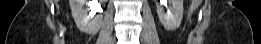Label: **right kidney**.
<instances>
[{
	"label": "right kidney",
	"instance_id": "obj_1",
	"mask_svg": "<svg viewBox=\"0 0 261 44\" xmlns=\"http://www.w3.org/2000/svg\"><path fill=\"white\" fill-rule=\"evenodd\" d=\"M72 16L78 29L84 33L92 34L97 32L102 24L103 17L97 12H102L98 0H70ZM90 8H86L85 6ZM91 10L88 14V10Z\"/></svg>",
	"mask_w": 261,
	"mask_h": 44
}]
</instances>
